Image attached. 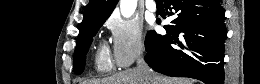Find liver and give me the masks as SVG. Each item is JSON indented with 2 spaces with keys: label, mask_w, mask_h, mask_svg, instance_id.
<instances>
[{
  "label": "liver",
  "mask_w": 260,
  "mask_h": 84,
  "mask_svg": "<svg viewBox=\"0 0 260 84\" xmlns=\"http://www.w3.org/2000/svg\"><path fill=\"white\" fill-rule=\"evenodd\" d=\"M147 75L138 69H127L121 73L104 79L87 81L84 84H193L195 81L188 78H170L149 72Z\"/></svg>",
  "instance_id": "obj_1"
}]
</instances>
